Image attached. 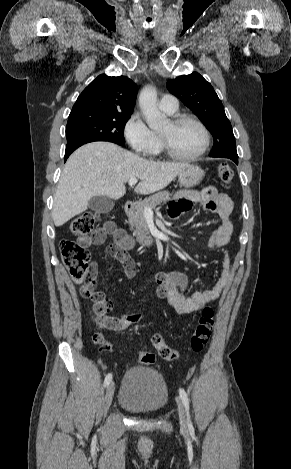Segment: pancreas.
<instances>
[{"label":"pancreas","mask_w":291,"mask_h":469,"mask_svg":"<svg viewBox=\"0 0 291 469\" xmlns=\"http://www.w3.org/2000/svg\"><path fill=\"white\" fill-rule=\"evenodd\" d=\"M170 196L171 194L168 191H162L136 204L134 213L128 218V223L133 231V236L136 237L139 243L149 245L152 242L145 219V208L152 209L160 203H166L170 200Z\"/></svg>","instance_id":"obj_1"}]
</instances>
